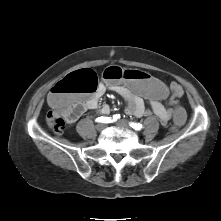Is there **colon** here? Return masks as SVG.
Listing matches in <instances>:
<instances>
[{
	"label": "colon",
	"instance_id": "obj_1",
	"mask_svg": "<svg viewBox=\"0 0 221 221\" xmlns=\"http://www.w3.org/2000/svg\"><path fill=\"white\" fill-rule=\"evenodd\" d=\"M109 84H123L127 89L149 100L161 99L166 94L162 79L149 72H139L136 69L123 70L113 66L104 73ZM97 75L91 69H81L67 75L59 81L48 96V102L53 110L48 114V123L56 134H61L67 128L70 114L76 109V100L81 95L95 92ZM189 113L185 107L175 105L170 110L171 126L179 131L184 128Z\"/></svg>",
	"mask_w": 221,
	"mask_h": 221
}]
</instances>
